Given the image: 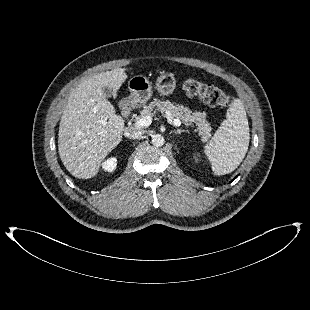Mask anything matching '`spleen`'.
I'll list each match as a JSON object with an SVG mask.
<instances>
[{"label":"spleen","mask_w":310,"mask_h":310,"mask_svg":"<svg viewBox=\"0 0 310 310\" xmlns=\"http://www.w3.org/2000/svg\"><path fill=\"white\" fill-rule=\"evenodd\" d=\"M250 134L244 105L235 99L226 113V120L215 132L213 138L204 146L215 175H224L234 171L244 159Z\"/></svg>","instance_id":"3e777b00"}]
</instances>
